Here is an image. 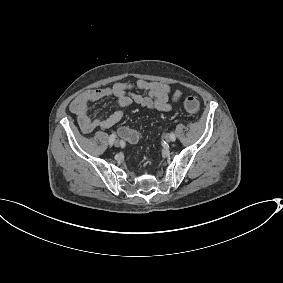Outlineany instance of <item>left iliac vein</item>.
Masks as SVG:
<instances>
[{
	"instance_id": "1",
	"label": "left iliac vein",
	"mask_w": 283,
	"mask_h": 283,
	"mask_svg": "<svg viewBox=\"0 0 283 283\" xmlns=\"http://www.w3.org/2000/svg\"><path fill=\"white\" fill-rule=\"evenodd\" d=\"M164 140H165L167 143H169V142L171 141L170 134H166V135L164 136Z\"/></svg>"
}]
</instances>
